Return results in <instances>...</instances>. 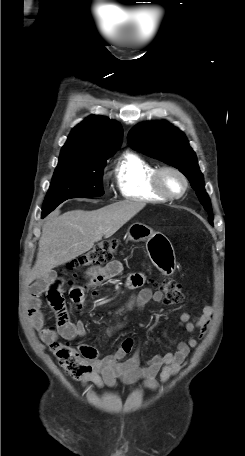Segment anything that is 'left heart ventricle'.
Listing matches in <instances>:
<instances>
[{
    "mask_svg": "<svg viewBox=\"0 0 245 456\" xmlns=\"http://www.w3.org/2000/svg\"><path fill=\"white\" fill-rule=\"evenodd\" d=\"M161 182L163 187L171 194H179L183 189V181L172 172L163 173Z\"/></svg>",
    "mask_w": 245,
    "mask_h": 456,
    "instance_id": "1",
    "label": "left heart ventricle"
}]
</instances>
